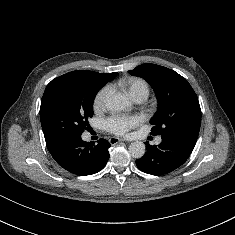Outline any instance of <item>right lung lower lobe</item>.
<instances>
[{"mask_svg": "<svg viewBox=\"0 0 235 235\" xmlns=\"http://www.w3.org/2000/svg\"><path fill=\"white\" fill-rule=\"evenodd\" d=\"M110 143L98 140L96 145L85 142L81 136H74L56 148L48 149L54 160L67 171L84 176L99 172L108 159Z\"/></svg>", "mask_w": 235, "mask_h": 235, "instance_id": "obj_1", "label": "right lung lower lobe"}]
</instances>
